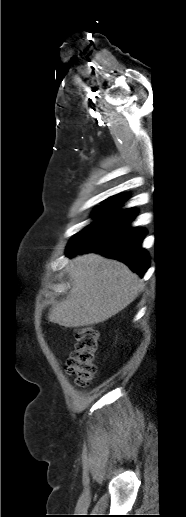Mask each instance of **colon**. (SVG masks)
<instances>
[{"label":"colon","mask_w":186,"mask_h":517,"mask_svg":"<svg viewBox=\"0 0 186 517\" xmlns=\"http://www.w3.org/2000/svg\"><path fill=\"white\" fill-rule=\"evenodd\" d=\"M75 349L66 365L68 375L74 377L77 385L86 386L96 373V355L99 332L95 327H79L74 331Z\"/></svg>","instance_id":"1"}]
</instances>
